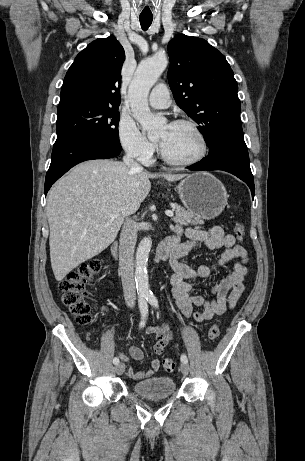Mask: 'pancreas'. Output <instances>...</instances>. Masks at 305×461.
Here are the masks:
<instances>
[{
    "label": "pancreas",
    "mask_w": 305,
    "mask_h": 461,
    "mask_svg": "<svg viewBox=\"0 0 305 461\" xmlns=\"http://www.w3.org/2000/svg\"><path fill=\"white\" fill-rule=\"evenodd\" d=\"M172 210L176 216L172 219L176 224L188 226L191 225H202L204 221L199 217H196L194 213L184 209L179 204H172Z\"/></svg>",
    "instance_id": "cf45deb5"
}]
</instances>
